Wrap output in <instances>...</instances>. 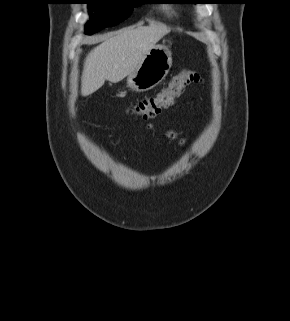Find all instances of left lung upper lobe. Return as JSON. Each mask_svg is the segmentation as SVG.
Segmentation results:
<instances>
[{
    "label": "left lung upper lobe",
    "mask_w": 290,
    "mask_h": 321,
    "mask_svg": "<svg viewBox=\"0 0 290 321\" xmlns=\"http://www.w3.org/2000/svg\"><path fill=\"white\" fill-rule=\"evenodd\" d=\"M197 2H199V1H195V3H197ZM188 3H193V2H188Z\"/></svg>",
    "instance_id": "obj_1"
}]
</instances>
